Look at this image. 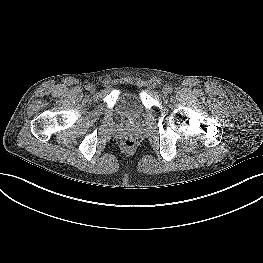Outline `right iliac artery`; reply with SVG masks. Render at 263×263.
Listing matches in <instances>:
<instances>
[{"mask_svg": "<svg viewBox=\"0 0 263 263\" xmlns=\"http://www.w3.org/2000/svg\"><path fill=\"white\" fill-rule=\"evenodd\" d=\"M85 87H86L87 90H89L90 84L86 85Z\"/></svg>", "mask_w": 263, "mask_h": 263, "instance_id": "1", "label": "right iliac artery"}]
</instances>
